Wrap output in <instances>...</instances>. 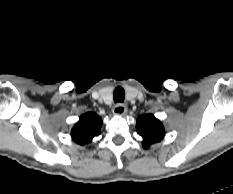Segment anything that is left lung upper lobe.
<instances>
[{"label": "left lung upper lobe", "instance_id": "5c2ea615", "mask_svg": "<svg viewBox=\"0 0 233 194\" xmlns=\"http://www.w3.org/2000/svg\"><path fill=\"white\" fill-rule=\"evenodd\" d=\"M137 133L143 138V147L149 148L151 144L159 142L164 137L162 123L152 114L140 116L136 123Z\"/></svg>", "mask_w": 233, "mask_h": 194}]
</instances>
